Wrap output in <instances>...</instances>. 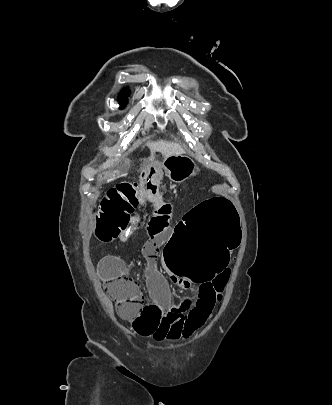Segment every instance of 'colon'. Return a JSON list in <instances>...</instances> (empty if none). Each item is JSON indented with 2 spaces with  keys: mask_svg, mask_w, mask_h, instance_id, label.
I'll return each mask as SVG.
<instances>
[{
  "mask_svg": "<svg viewBox=\"0 0 332 405\" xmlns=\"http://www.w3.org/2000/svg\"><path fill=\"white\" fill-rule=\"evenodd\" d=\"M138 185L123 182L106 193L96 214L94 233L100 241L115 240L129 229L130 217L139 202ZM189 210L188 220H176L171 240H167L163 268H168V275H182V281H197V285L211 281L215 305L230 276L226 269L231 268L228 257H235V249H240L242 243L239 213L235 211L236 203L227 197H204ZM106 290L124 318L134 320L137 311H143V297L132 278L109 279Z\"/></svg>",
  "mask_w": 332,
  "mask_h": 405,
  "instance_id": "1",
  "label": "colon"
}]
</instances>
